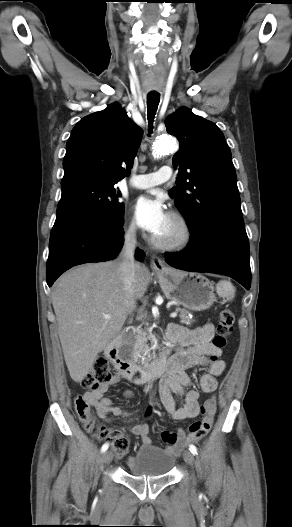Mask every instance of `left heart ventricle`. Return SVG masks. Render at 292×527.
Segmentation results:
<instances>
[{
  "label": "left heart ventricle",
  "mask_w": 292,
  "mask_h": 527,
  "mask_svg": "<svg viewBox=\"0 0 292 527\" xmlns=\"http://www.w3.org/2000/svg\"><path fill=\"white\" fill-rule=\"evenodd\" d=\"M177 233V228L173 221L169 218L166 225L163 227V229L155 235V237L160 239H170L175 236Z\"/></svg>",
  "instance_id": "1"
}]
</instances>
